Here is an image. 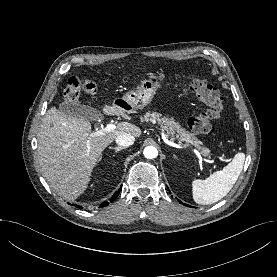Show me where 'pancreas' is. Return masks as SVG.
I'll use <instances>...</instances> for the list:
<instances>
[{
	"label": "pancreas",
	"instance_id": "cf45deb5",
	"mask_svg": "<svg viewBox=\"0 0 277 277\" xmlns=\"http://www.w3.org/2000/svg\"><path fill=\"white\" fill-rule=\"evenodd\" d=\"M143 120L158 123L160 127L165 130L166 135H170L171 137L176 136L181 141L191 143L195 147L200 148L203 153L209 151V149L204 147L203 143L199 141L195 135L182 128L172 117H161V114L157 112H148Z\"/></svg>",
	"mask_w": 277,
	"mask_h": 277
}]
</instances>
